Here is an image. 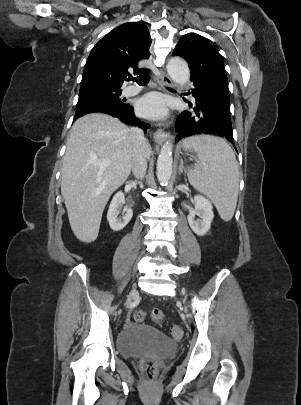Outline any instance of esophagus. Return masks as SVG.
I'll return each instance as SVG.
<instances>
[{
    "mask_svg": "<svg viewBox=\"0 0 301 405\" xmlns=\"http://www.w3.org/2000/svg\"><path fill=\"white\" fill-rule=\"evenodd\" d=\"M160 82H161V84L165 85L168 88L173 87V82H172L171 78L164 72H161ZM173 119H174V116H171L170 120L172 121ZM153 138L156 143L162 144L167 139H170L171 135H170V133L166 132L164 129L158 128L154 132Z\"/></svg>",
    "mask_w": 301,
    "mask_h": 405,
    "instance_id": "1",
    "label": "esophagus"
}]
</instances>
